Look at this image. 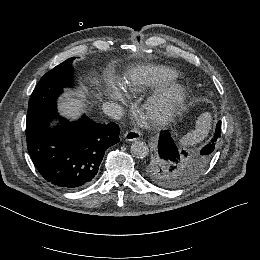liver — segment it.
<instances>
[{
  "instance_id": "obj_1",
  "label": "liver",
  "mask_w": 260,
  "mask_h": 260,
  "mask_svg": "<svg viewBox=\"0 0 260 260\" xmlns=\"http://www.w3.org/2000/svg\"><path fill=\"white\" fill-rule=\"evenodd\" d=\"M69 92V91H67ZM81 99H73L70 96L65 97L60 102L61 111L70 116H74L75 112L83 104Z\"/></svg>"
}]
</instances>
